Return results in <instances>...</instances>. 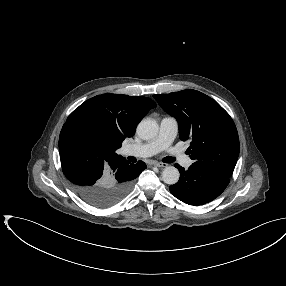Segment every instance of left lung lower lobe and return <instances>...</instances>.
I'll list each match as a JSON object with an SVG mask.
<instances>
[{"label": "left lung lower lobe", "mask_w": 286, "mask_h": 286, "mask_svg": "<svg viewBox=\"0 0 286 286\" xmlns=\"http://www.w3.org/2000/svg\"><path fill=\"white\" fill-rule=\"evenodd\" d=\"M179 181L170 186V192L189 205H203L217 198L229 184L230 177L207 168L191 165L188 170L175 165Z\"/></svg>", "instance_id": "0a47b994"}]
</instances>
